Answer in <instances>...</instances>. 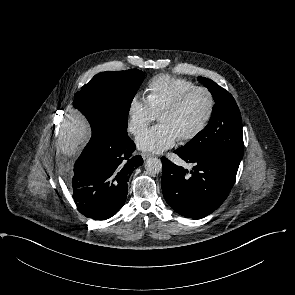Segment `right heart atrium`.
Segmentation results:
<instances>
[{
	"instance_id": "obj_1",
	"label": "right heart atrium",
	"mask_w": 295,
	"mask_h": 295,
	"mask_svg": "<svg viewBox=\"0 0 295 295\" xmlns=\"http://www.w3.org/2000/svg\"><path fill=\"white\" fill-rule=\"evenodd\" d=\"M128 130L138 135L143 132L149 124L157 119V114L152 109L147 98L134 95L128 103Z\"/></svg>"
}]
</instances>
